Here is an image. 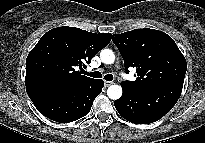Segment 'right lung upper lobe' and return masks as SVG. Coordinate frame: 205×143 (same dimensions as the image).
Instances as JSON below:
<instances>
[{
  "mask_svg": "<svg viewBox=\"0 0 205 143\" xmlns=\"http://www.w3.org/2000/svg\"><path fill=\"white\" fill-rule=\"evenodd\" d=\"M109 33L58 27L45 33L26 59L27 87L75 88L95 79L81 75L86 64L111 41Z\"/></svg>",
  "mask_w": 205,
  "mask_h": 143,
  "instance_id": "right-lung-upper-lobe-1",
  "label": "right lung upper lobe"
}]
</instances>
